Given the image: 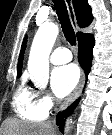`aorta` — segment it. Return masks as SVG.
<instances>
[{
    "mask_svg": "<svg viewBox=\"0 0 112 135\" xmlns=\"http://www.w3.org/2000/svg\"><path fill=\"white\" fill-rule=\"evenodd\" d=\"M57 24L42 25L35 37L30 50L28 71L34 85L40 89L46 88L49 80V55L58 36ZM71 120L67 121L65 132L68 131Z\"/></svg>",
    "mask_w": 112,
    "mask_h": 135,
    "instance_id": "762f6f07",
    "label": "aorta"
}]
</instances>
